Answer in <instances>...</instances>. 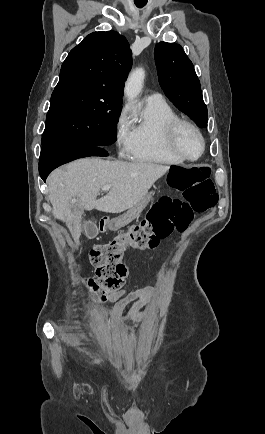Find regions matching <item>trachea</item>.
<instances>
[{"mask_svg":"<svg viewBox=\"0 0 265 434\" xmlns=\"http://www.w3.org/2000/svg\"><path fill=\"white\" fill-rule=\"evenodd\" d=\"M138 8H142L146 5V3H135Z\"/></svg>","mask_w":265,"mask_h":434,"instance_id":"1","label":"trachea"}]
</instances>
